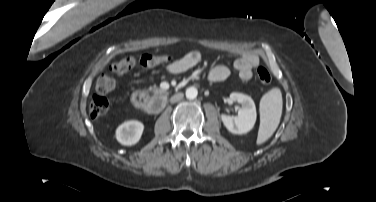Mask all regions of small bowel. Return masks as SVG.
Listing matches in <instances>:
<instances>
[{"instance_id": "c3829d8e", "label": "small bowel", "mask_w": 376, "mask_h": 202, "mask_svg": "<svg viewBox=\"0 0 376 202\" xmlns=\"http://www.w3.org/2000/svg\"><path fill=\"white\" fill-rule=\"evenodd\" d=\"M201 60V53L198 50L187 52L182 58L169 63L166 71L170 74H180L196 66ZM260 63V57L255 52H244L234 62V68L242 80H249L252 77L253 69ZM230 69L224 64H217L210 67L206 73L207 80L219 82L226 79Z\"/></svg>"}]
</instances>
